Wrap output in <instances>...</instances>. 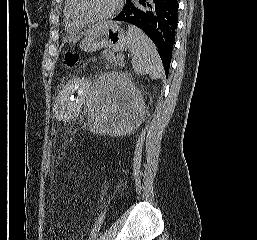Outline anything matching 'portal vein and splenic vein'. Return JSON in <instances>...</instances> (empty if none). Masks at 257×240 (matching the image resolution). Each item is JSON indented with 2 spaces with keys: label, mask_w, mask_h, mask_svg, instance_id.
<instances>
[{
  "label": "portal vein and splenic vein",
  "mask_w": 257,
  "mask_h": 240,
  "mask_svg": "<svg viewBox=\"0 0 257 240\" xmlns=\"http://www.w3.org/2000/svg\"><path fill=\"white\" fill-rule=\"evenodd\" d=\"M118 59H119V60H121V65H123V66H124V63H123V59H124V57H123V56H119V57H118Z\"/></svg>",
  "instance_id": "portal-vein-and-splenic-vein-1"
}]
</instances>
